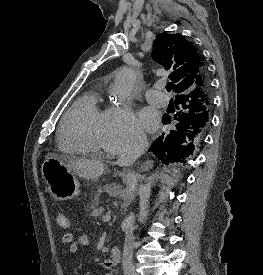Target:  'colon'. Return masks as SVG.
Returning a JSON list of instances; mask_svg holds the SVG:
<instances>
[{
  "label": "colon",
  "instance_id": "5ec220e1",
  "mask_svg": "<svg viewBox=\"0 0 263 275\" xmlns=\"http://www.w3.org/2000/svg\"><path fill=\"white\" fill-rule=\"evenodd\" d=\"M57 223L58 225L62 228V229H68L70 227V220L68 218V216L65 213H58L57 217H56ZM68 233H65L64 235H66V238H68Z\"/></svg>",
  "mask_w": 263,
  "mask_h": 275
}]
</instances>
